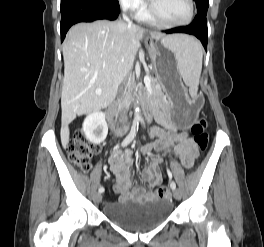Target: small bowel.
Returning <instances> with one entry per match:
<instances>
[{
	"mask_svg": "<svg viewBox=\"0 0 264 247\" xmlns=\"http://www.w3.org/2000/svg\"><path fill=\"white\" fill-rule=\"evenodd\" d=\"M158 122L167 128L166 131L161 128L154 127L152 135L154 141L141 148L143 154H148L152 150H164L170 146L175 148V152L182 165L189 169L193 166L197 156V147L192 139L188 137L186 132L180 131L176 124L166 117L161 111L156 112ZM133 159L131 152L126 150L123 152L115 151L110 159V166L115 175L116 185L114 191L121 196V199L135 197L139 199H153L154 188L160 183L161 175L159 172V160L153 159L143 172V178L148 183V189L134 188L131 190V174L130 168Z\"/></svg>",
	"mask_w": 264,
	"mask_h": 247,
	"instance_id": "small-bowel-1",
	"label": "small bowel"
}]
</instances>
